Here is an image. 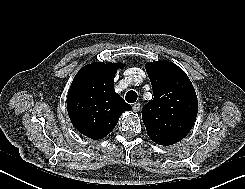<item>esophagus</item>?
I'll use <instances>...</instances> for the list:
<instances>
[{
    "label": "esophagus",
    "instance_id": "obj_1",
    "mask_svg": "<svg viewBox=\"0 0 245 189\" xmlns=\"http://www.w3.org/2000/svg\"><path fill=\"white\" fill-rule=\"evenodd\" d=\"M132 109L134 112H138L140 110V103H134Z\"/></svg>",
    "mask_w": 245,
    "mask_h": 189
}]
</instances>
